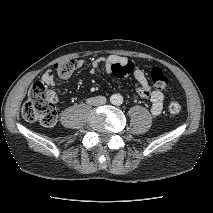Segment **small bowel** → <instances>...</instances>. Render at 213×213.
<instances>
[{
	"mask_svg": "<svg viewBox=\"0 0 213 213\" xmlns=\"http://www.w3.org/2000/svg\"><path fill=\"white\" fill-rule=\"evenodd\" d=\"M128 59L117 56V55H108L106 57H100L94 59L90 66V72L94 74L98 68L102 65L107 73H112V67L114 64L126 61ZM84 66V61L79 59L75 63V67L80 69ZM132 75L136 80V92L142 98H147L151 102L150 111L154 116L159 115L164 106V94L156 89H153L148 82L146 73L143 69L135 67L132 71ZM42 81L47 85L53 86L55 83V75L52 69H47L42 75Z\"/></svg>",
	"mask_w": 213,
	"mask_h": 213,
	"instance_id": "1",
	"label": "small bowel"
}]
</instances>
